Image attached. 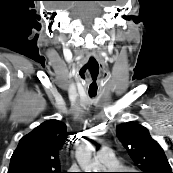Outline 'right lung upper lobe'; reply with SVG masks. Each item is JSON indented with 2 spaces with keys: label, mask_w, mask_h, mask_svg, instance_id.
Returning a JSON list of instances; mask_svg holds the SVG:
<instances>
[{
  "label": "right lung upper lobe",
  "mask_w": 173,
  "mask_h": 173,
  "mask_svg": "<svg viewBox=\"0 0 173 173\" xmlns=\"http://www.w3.org/2000/svg\"><path fill=\"white\" fill-rule=\"evenodd\" d=\"M68 135L63 122L45 121L19 141L11 157L8 173L24 170L36 173L60 172L59 154L66 141H69Z\"/></svg>",
  "instance_id": "right-lung-upper-lobe-1"
}]
</instances>
